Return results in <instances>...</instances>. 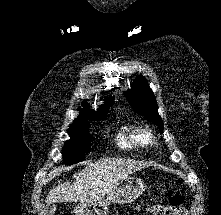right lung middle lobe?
Masks as SVG:
<instances>
[{"label":"right lung middle lobe","instance_id":"1","mask_svg":"<svg viewBox=\"0 0 221 215\" xmlns=\"http://www.w3.org/2000/svg\"><path fill=\"white\" fill-rule=\"evenodd\" d=\"M89 124L83 119H76L69 127L70 140L66 141L64 160L66 164H75L82 161V154L90 150Z\"/></svg>","mask_w":221,"mask_h":215}]
</instances>
